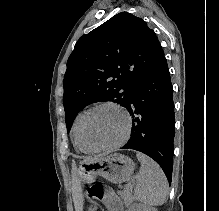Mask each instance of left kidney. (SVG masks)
Returning a JSON list of instances; mask_svg holds the SVG:
<instances>
[{"instance_id": "obj_1", "label": "left kidney", "mask_w": 219, "mask_h": 211, "mask_svg": "<svg viewBox=\"0 0 219 211\" xmlns=\"http://www.w3.org/2000/svg\"><path fill=\"white\" fill-rule=\"evenodd\" d=\"M133 211H157L156 207H148V205H143V203H133Z\"/></svg>"}]
</instances>
